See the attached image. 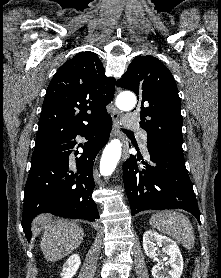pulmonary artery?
I'll use <instances>...</instances> for the list:
<instances>
[{
    "mask_svg": "<svg viewBox=\"0 0 221 278\" xmlns=\"http://www.w3.org/2000/svg\"><path fill=\"white\" fill-rule=\"evenodd\" d=\"M122 121H123L124 126H126L127 128L137 129L139 127L138 120L136 119V117L134 115H131V114L126 115ZM141 140H142V145H143L144 149H146V141H147L146 133L142 132Z\"/></svg>",
    "mask_w": 221,
    "mask_h": 278,
    "instance_id": "e3ab8cb5",
    "label": "pulmonary artery"
}]
</instances>
